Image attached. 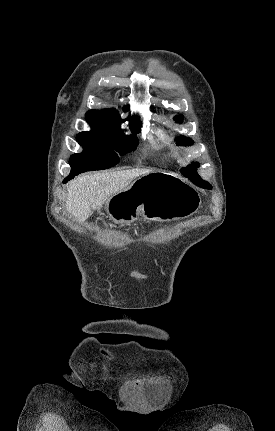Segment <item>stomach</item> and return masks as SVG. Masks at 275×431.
<instances>
[{"label":"stomach","mask_w":275,"mask_h":431,"mask_svg":"<svg viewBox=\"0 0 275 431\" xmlns=\"http://www.w3.org/2000/svg\"><path fill=\"white\" fill-rule=\"evenodd\" d=\"M201 203L199 193L181 178L152 172L112 196L105 209L120 224H130L139 216L149 221L170 222L197 213Z\"/></svg>","instance_id":"obj_1"}]
</instances>
